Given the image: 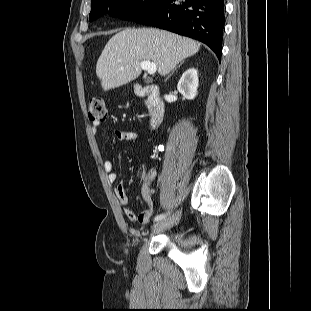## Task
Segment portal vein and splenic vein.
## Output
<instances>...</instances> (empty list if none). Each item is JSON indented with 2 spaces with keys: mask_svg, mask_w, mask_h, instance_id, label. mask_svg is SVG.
<instances>
[{
  "mask_svg": "<svg viewBox=\"0 0 311 311\" xmlns=\"http://www.w3.org/2000/svg\"><path fill=\"white\" fill-rule=\"evenodd\" d=\"M140 67H141L143 70L147 71L148 74H150V75L155 74L156 71H157V66H156V64L153 63V62H150V61H141V62H140Z\"/></svg>",
  "mask_w": 311,
  "mask_h": 311,
  "instance_id": "1",
  "label": "portal vein and splenic vein"
}]
</instances>
